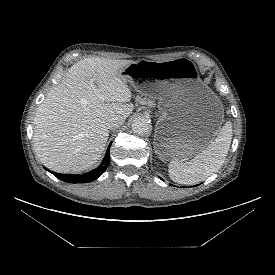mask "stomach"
<instances>
[{"label": "stomach", "mask_w": 275, "mask_h": 275, "mask_svg": "<svg viewBox=\"0 0 275 275\" xmlns=\"http://www.w3.org/2000/svg\"><path fill=\"white\" fill-rule=\"evenodd\" d=\"M121 75L139 93L159 100L155 149L160 158L186 160L213 141L223 122V107L191 60H140L123 68Z\"/></svg>", "instance_id": "stomach-1"}]
</instances>
